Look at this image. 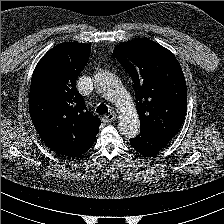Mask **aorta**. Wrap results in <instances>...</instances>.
I'll return each mask as SVG.
<instances>
[{
	"label": "aorta",
	"mask_w": 224,
	"mask_h": 224,
	"mask_svg": "<svg viewBox=\"0 0 224 224\" xmlns=\"http://www.w3.org/2000/svg\"><path fill=\"white\" fill-rule=\"evenodd\" d=\"M96 85L119 111L118 128L120 133L127 138L138 135L140 121L136 107L118 78L109 72L100 73L97 76Z\"/></svg>",
	"instance_id": "aorta-1"
}]
</instances>
